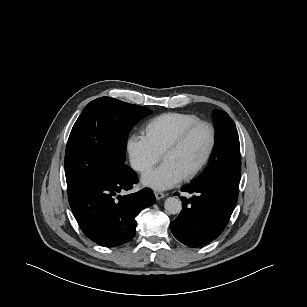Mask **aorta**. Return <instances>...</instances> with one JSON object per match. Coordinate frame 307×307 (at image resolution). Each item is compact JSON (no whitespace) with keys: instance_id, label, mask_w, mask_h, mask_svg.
I'll list each match as a JSON object with an SVG mask.
<instances>
[{"instance_id":"762f6f07","label":"aorta","mask_w":307,"mask_h":307,"mask_svg":"<svg viewBox=\"0 0 307 307\" xmlns=\"http://www.w3.org/2000/svg\"><path fill=\"white\" fill-rule=\"evenodd\" d=\"M164 208L169 214H179L182 210V202L176 197H169L164 202Z\"/></svg>"}]
</instances>
